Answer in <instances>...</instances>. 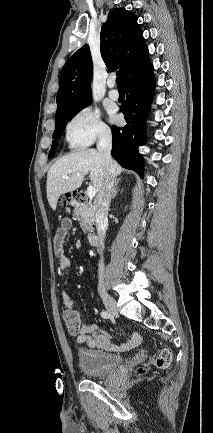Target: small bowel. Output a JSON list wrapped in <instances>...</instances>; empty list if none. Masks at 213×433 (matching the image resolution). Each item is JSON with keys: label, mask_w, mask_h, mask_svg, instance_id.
Wrapping results in <instances>:
<instances>
[{"label": "small bowel", "mask_w": 213, "mask_h": 433, "mask_svg": "<svg viewBox=\"0 0 213 433\" xmlns=\"http://www.w3.org/2000/svg\"><path fill=\"white\" fill-rule=\"evenodd\" d=\"M71 225V220L64 218L53 238L54 255L57 260L58 268L62 272H67L71 267V259L65 253V240ZM75 245L77 248H80L82 242L77 241ZM62 298L65 306L71 307L73 305L67 290L63 291ZM76 341L78 344H86L91 349L105 350L109 352H125L140 345L141 336L137 332H134L124 343L114 345L111 343L109 332L100 331L96 324H85L78 330Z\"/></svg>", "instance_id": "c3829d8e"}]
</instances>
